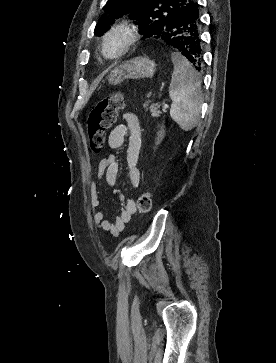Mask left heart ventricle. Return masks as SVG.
<instances>
[{
	"label": "left heart ventricle",
	"mask_w": 276,
	"mask_h": 363,
	"mask_svg": "<svg viewBox=\"0 0 276 363\" xmlns=\"http://www.w3.org/2000/svg\"><path fill=\"white\" fill-rule=\"evenodd\" d=\"M122 45V38L119 36L111 38L107 43V51L110 54L116 53Z\"/></svg>",
	"instance_id": "b2bd125f"
}]
</instances>
